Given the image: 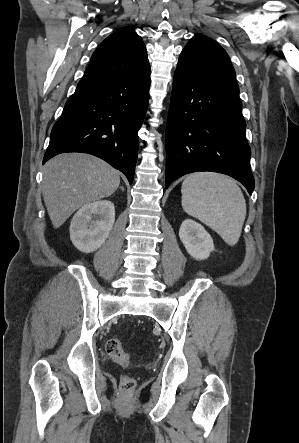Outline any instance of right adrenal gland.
<instances>
[{
  "instance_id": "obj_1",
  "label": "right adrenal gland",
  "mask_w": 299,
  "mask_h": 443,
  "mask_svg": "<svg viewBox=\"0 0 299 443\" xmlns=\"http://www.w3.org/2000/svg\"><path fill=\"white\" fill-rule=\"evenodd\" d=\"M120 189H121L122 191H124V188H123V187H120Z\"/></svg>"
}]
</instances>
